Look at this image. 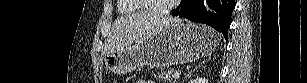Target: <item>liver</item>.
I'll return each mask as SVG.
<instances>
[{"label":"liver","instance_id":"6515ba94","mask_svg":"<svg viewBox=\"0 0 307 83\" xmlns=\"http://www.w3.org/2000/svg\"><path fill=\"white\" fill-rule=\"evenodd\" d=\"M181 19L139 13L119 19L113 26L109 36L106 53L126 48L145 37L158 32L165 26L180 23Z\"/></svg>","mask_w":307,"mask_h":83}]
</instances>
